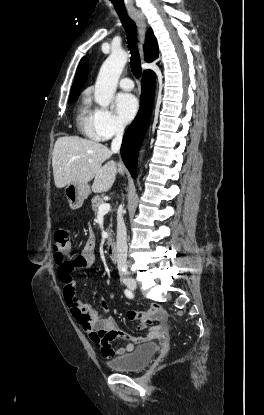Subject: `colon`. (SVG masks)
Returning a JSON list of instances; mask_svg holds the SVG:
<instances>
[{
	"label": "colon",
	"mask_w": 264,
	"mask_h": 415,
	"mask_svg": "<svg viewBox=\"0 0 264 415\" xmlns=\"http://www.w3.org/2000/svg\"><path fill=\"white\" fill-rule=\"evenodd\" d=\"M55 242V260L61 266H68V263L74 260L78 255L74 252L72 238L69 230L59 228L54 233ZM69 267V266H68ZM74 289L67 290L68 300L73 299ZM150 322V321H148Z\"/></svg>",
	"instance_id": "obj_1"
}]
</instances>
